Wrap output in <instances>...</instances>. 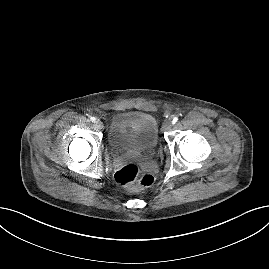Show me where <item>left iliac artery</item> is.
I'll list each match as a JSON object with an SVG mask.
<instances>
[{
    "label": "left iliac artery",
    "instance_id": "obj_1",
    "mask_svg": "<svg viewBox=\"0 0 269 269\" xmlns=\"http://www.w3.org/2000/svg\"><path fill=\"white\" fill-rule=\"evenodd\" d=\"M178 121V117H174L172 120V124H175Z\"/></svg>",
    "mask_w": 269,
    "mask_h": 269
}]
</instances>
